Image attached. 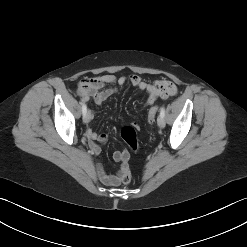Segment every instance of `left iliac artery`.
I'll list each match as a JSON object with an SVG mask.
<instances>
[{
    "instance_id": "44dca946",
    "label": "left iliac artery",
    "mask_w": 247,
    "mask_h": 247,
    "mask_svg": "<svg viewBox=\"0 0 247 247\" xmlns=\"http://www.w3.org/2000/svg\"><path fill=\"white\" fill-rule=\"evenodd\" d=\"M160 116L164 117L165 116V107H161L160 109Z\"/></svg>"
}]
</instances>
